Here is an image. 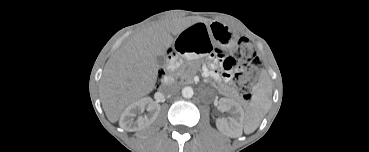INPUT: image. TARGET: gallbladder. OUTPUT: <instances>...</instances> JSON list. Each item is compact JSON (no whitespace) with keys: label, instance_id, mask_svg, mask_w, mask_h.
<instances>
[{"label":"gallbladder","instance_id":"gallbladder-1","mask_svg":"<svg viewBox=\"0 0 369 152\" xmlns=\"http://www.w3.org/2000/svg\"><path fill=\"white\" fill-rule=\"evenodd\" d=\"M158 62L159 63H163V59L162 58H158Z\"/></svg>","mask_w":369,"mask_h":152}]
</instances>
